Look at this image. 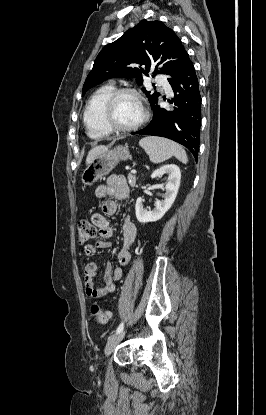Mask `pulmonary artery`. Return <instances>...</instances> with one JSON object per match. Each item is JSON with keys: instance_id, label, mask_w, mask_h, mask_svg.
<instances>
[{"instance_id": "e3ab8cb5", "label": "pulmonary artery", "mask_w": 266, "mask_h": 415, "mask_svg": "<svg viewBox=\"0 0 266 415\" xmlns=\"http://www.w3.org/2000/svg\"><path fill=\"white\" fill-rule=\"evenodd\" d=\"M156 81L159 85L163 86L165 90L170 91V86L164 77L159 75L156 77Z\"/></svg>"}]
</instances>
